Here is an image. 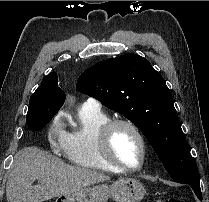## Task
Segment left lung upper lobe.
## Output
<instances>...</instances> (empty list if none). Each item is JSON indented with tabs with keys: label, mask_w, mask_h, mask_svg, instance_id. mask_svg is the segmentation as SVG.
Returning a JSON list of instances; mask_svg holds the SVG:
<instances>
[{
	"label": "left lung upper lobe",
	"mask_w": 209,
	"mask_h": 202,
	"mask_svg": "<svg viewBox=\"0 0 209 202\" xmlns=\"http://www.w3.org/2000/svg\"><path fill=\"white\" fill-rule=\"evenodd\" d=\"M77 90L132 121L176 182L199 183L172 94L145 58L125 54L99 62L80 75Z\"/></svg>",
	"instance_id": "5c2ea615"
}]
</instances>
